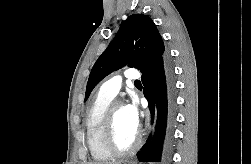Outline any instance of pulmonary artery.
I'll return each mask as SVG.
<instances>
[{
	"mask_svg": "<svg viewBox=\"0 0 251 164\" xmlns=\"http://www.w3.org/2000/svg\"><path fill=\"white\" fill-rule=\"evenodd\" d=\"M123 78L128 81H136L140 79V73L136 69H128L123 76L117 75L103 83L100 93L109 97H115L122 85Z\"/></svg>",
	"mask_w": 251,
	"mask_h": 164,
	"instance_id": "obj_1",
	"label": "pulmonary artery"
}]
</instances>
